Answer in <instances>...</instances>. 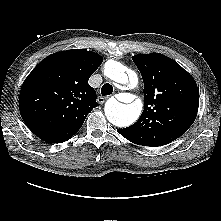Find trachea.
<instances>
[{
  "instance_id": "obj_1",
  "label": "trachea",
  "mask_w": 221,
  "mask_h": 221,
  "mask_svg": "<svg viewBox=\"0 0 221 221\" xmlns=\"http://www.w3.org/2000/svg\"><path fill=\"white\" fill-rule=\"evenodd\" d=\"M113 92V86L109 83H105L101 88V94L103 96L110 95Z\"/></svg>"
}]
</instances>
